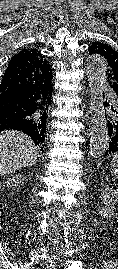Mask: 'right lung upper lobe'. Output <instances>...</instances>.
<instances>
[{
  "mask_svg": "<svg viewBox=\"0 0 118 269\" xmlns=\"http://www.w3.org/2000/svg\"><path fill=\"white\" fill-rule=\"evenodd\" d=\"M51 65L34 48L25 49L14 55L4 73L0 92L28 91L37 94L36 126L38 132L46 131L47 111L52 95Z\"/></svg>",
  "mask_w": 118,
  "mask_h": 269,
  "instance_id": "cb5924a9",
  "label": "right lung upper lobe"
}]
</instances>
